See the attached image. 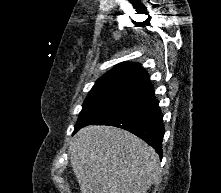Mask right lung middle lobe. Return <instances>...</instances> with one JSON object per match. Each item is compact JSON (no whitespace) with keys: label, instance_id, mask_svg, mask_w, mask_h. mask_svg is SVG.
<instances>
[{"label":"right lung middle lobe","instance_id":"1","mask_svg":"<svg viewBox=\"0 0 221 193\" xmlns=\"http://www.w3.org/2000/svg\"><path fill=\"white\" fill-rule=\"evenodd\" d=\"M145 88L128 84H110L92 88L83 103L75 130L118 109L137 97Z\"/></svg>","mask_w":221,"mask_h":193}]
</instances>
